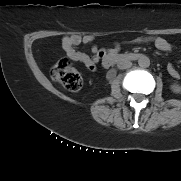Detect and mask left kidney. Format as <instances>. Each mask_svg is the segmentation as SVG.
<instances>
[{"label": "left kidney", "instance_id": "1", "mask_svg": "<svg viewBox=\"0 0 181 181\" xmlns=\"http://www.w3.org/2000/svg\"><path fill=\"white\" fill-rule=\"evenodd\" d=\"M170 89L175 94L181 93V86L179 84H176V83L172 84L170 86Z\"/></svg>", "mask_w": 181, "mask_h": 181}]
</instances>
